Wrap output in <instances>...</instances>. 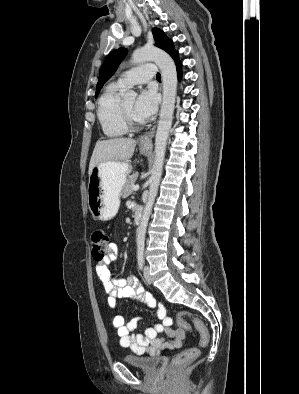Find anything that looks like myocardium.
Returning <instances> with one entry per match:
<instances>
[{
	"mask_svg": "<svg viewBox=\"0 0 299 394\" xmlns=\"http://www.w3.org/2000/svg\"><path fill=\"white\" fill-rule=\"evenodd\" d=\"M120 114L125 127L129 130H134L142 125L140 120L134 119L126 110L123 101L120 103Z\"/></svg>",
	"mask_w": 299,
	"mask_h": 394,
	"instance_id": "myocardium-1",
	"label": "myocardium"
}]
</instances>
